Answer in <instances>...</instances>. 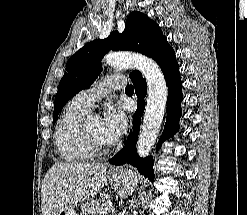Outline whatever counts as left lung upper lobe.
<instances>
[{"label":"left lung upper lobe","mask_w":247,"mask_h":215,"mask_svg":"<svg viewBox=\"0 0 247 215\" xmlns=\"http://www.w3.org/2000/svg\"><path fill=\"white\" fill-rule=\"evenodd\" d=\"M166 42L159 25L141 12H131L122 34L113 31L104 40H94L79 49L66 64L55 96L53 123L64 105L79 91L89 87L102 71L101 59L109 50H128L150 58ZM138 71L130 73V77Z\"/></svg>","instance_id":"5c2ea615"}]
</instances>
